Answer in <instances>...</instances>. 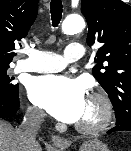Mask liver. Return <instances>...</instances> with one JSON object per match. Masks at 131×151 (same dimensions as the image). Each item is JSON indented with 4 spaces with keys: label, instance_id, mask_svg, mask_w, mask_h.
<instances>
[{
    "label": "liver",
    "instance_id": "obj_1",
    "mask_svg": "<svg viewBox=\"0 0 131 151\" xmlns=\"http://www.w3.org/2000/svg\"><path fill=\"white\" fill-rule=\"evenodd\" d=\"M16 130L8 122L0 120V151H26ZM35 151H42L37 143Z\"/></svg>",
    "mask_w": 131,
    "mask_h": 151
}]
</instances>
